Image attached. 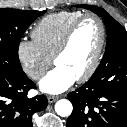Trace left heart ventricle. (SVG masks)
I'll use <instances>...</instances> for the list:
<instances>
[{
  "label": "left heart ventricle",
  "instance_id": "1",
  "mask_svg": "<svg viewBox=\"0 0 127 127\" xmlns=\"http://www.w3.org/2000/svg\"><path fill=\"white\" fill-rule=\"evenodd\" d=\"M100 41V28L93 19L83 21L75 31L67 51L56 61L75 78L90 66Z\"/></svg>",
  "mask_w": 127,
  "mask_h": 127
}]
</instances>
